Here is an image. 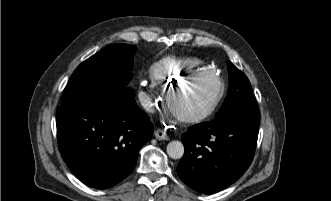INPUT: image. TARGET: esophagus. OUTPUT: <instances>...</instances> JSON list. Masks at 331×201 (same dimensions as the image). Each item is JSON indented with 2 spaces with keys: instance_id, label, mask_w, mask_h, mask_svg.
<instances>
[{
  "instance_id": "34e87169",
  "label": "esophagus",
  "mask_w": 331,
  "mask_h": 201,
  "mask_svg": "<svg viewBox=\"0 0 331 201\" xmlns=\"http://www.w3.org/2000/svg\"><path fill=\"white\" fill-rule=\"evenodd\" d=\"M154 136L157 140H168L169 139V136L161 129L155 130Z\"/></svg>"
}]
</instances>
